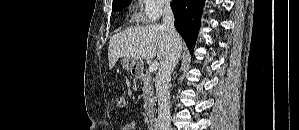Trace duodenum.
Instances as JSON below:
<instances>
[{"label": "duodenum", "mask_w": 299, "mask_h": 130, "mask_svg": "<svg viewBox=\"0 0 299 130\" xmlns=\"http://www.w3.org/2000/svg\"><path fill=\"white\" fill-rule=\"evenodd\" d=\"M148 126L150 130H159V120L157 117H149Z\"/></svg>", "instance_id": "duodenum-1"}]
</instances>
